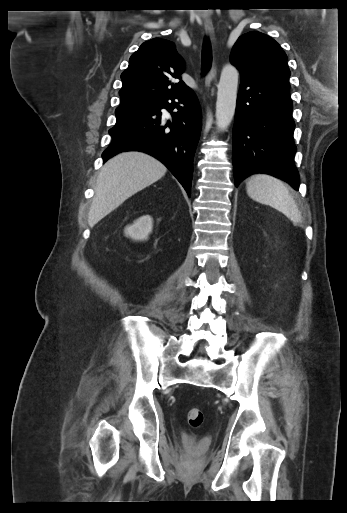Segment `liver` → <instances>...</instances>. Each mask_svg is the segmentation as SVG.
<instances>
[{
    "mask_svg": "<svg viewBox=\"0 0 347 513\" xmlns=\"http://www.w3.org/2000/svg\"><path fill=\"white\" fill-rule=\"evenodd\" d=\"M167 168L143 152H123L111 158L98 175L88 224L93 227L125 200L162 178Z\"/></svg>",
    "mask_w": 347,
    "mask_h": 513,
    "instance_id": "6515ba94",
    "label": "liver"
}]
</instances>
